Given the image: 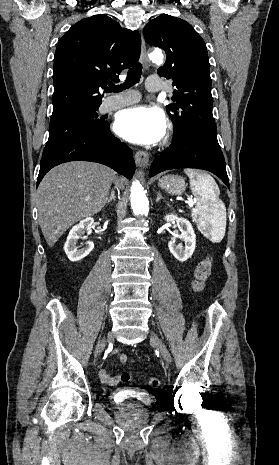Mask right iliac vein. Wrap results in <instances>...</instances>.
Returning <instances> with one entry per match:
<instances>
[{"instance_id":"right-iliac-vein-1","label":"right iliac vein","mask_w":279,"mask_h":465,"mask_svg":"<svg viewBox=\"0 0 279 465\" xmlns=\"http://www.w3.org/2000/svg\"><path fill=\"white\" fill-rule=\"evenodd\" d=\"M105 344H106V340L103 339L99 344H98V347H97V351H96V355H100L101 352L103 351V349L105 348Z\"/></svg>"}]
</instances>
